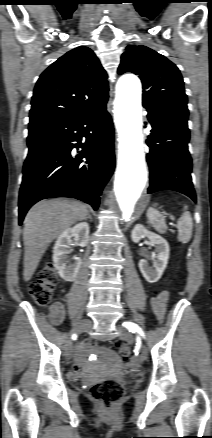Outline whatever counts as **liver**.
Segmentation results:
<instances>
[{"mask_svg": "<svg viewBox=\"0 0 212 438\" xmlns=\"http://www.w3.org/2000/svg\"><path fill=\"white\" fill-rule=\"evenodd\" d=\"M85 204L75 200L51 199L36 203L24 220L23 279L29 281L49 244L64 230L88 215Z\"/></svg>", "mask_w": 212, "mask_h": 438, "instance_id": "6515ba94", "label": "liver"}]
</instances>
